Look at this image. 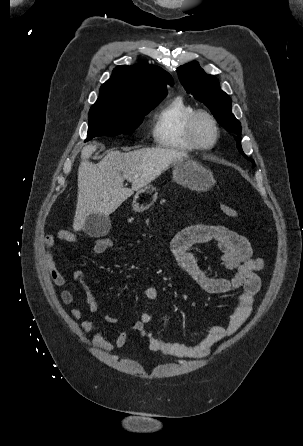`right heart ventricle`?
Returning a JSON list of instances; mask_svg holds the SVG:
<instances>
[{"mask_svg":"<svg viewBox=\"0 0 303 446\" xmlns=\"http://www.w3.org/2000/svg\"><path fill=\"white\" fill-rule=\"evenodd\" d=\"M194 111V106L182 96L167 101L154 118L152 127L154 143L171 150H195L185 132L188 117Z\"/></svg>","mask_w":303,"mask_h":446,"instance_id":"right-heart-ventricle-1","label":"right heart ventricle"}]
</instances>
